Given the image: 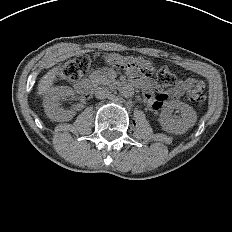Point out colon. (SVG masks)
Returning a JSON list of instances; mask_svg holds the SVG:
<instances>
[{
  "label": "colon",
  "mask_w": 232,
  "mask_h": 232,
  "mask_svg": "<svg viewBox=\"0 0 232 232\" xmlns=\"http://www.w3.org/2000/svg\"><path fill=\"white\" fill-rule=\"evenodd\" d=\"M91 67V59L87 55L77 56L66 62L57 73V78L64 81H75L86 74ZM175 76L171 70L164 67L157 72V85L160 90H167L175 84ZM186 94L188 99L195 105L203 104L204 86L198 80L186 82Z\"/></svg>",
  "instance_id": "obj_1"
}]
</instances>
